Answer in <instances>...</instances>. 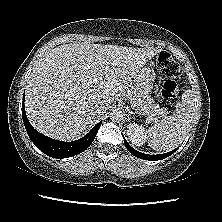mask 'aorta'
I'll return each mask as SVG.
<instances>
[{
  "label": "aorta",
  "instance_id": "aorta-1",
  "mask_svg": "<svg viewBox=\"0 0 222 222\" xmlns=\"http://www.w3.org/2000/svg\"><path fill=\"white\" fill-rule=\"evenodd\" d=\"M110 118L114 121H121L123 119L122 111L119 109H114L110 113Z\"/></svg>",
  "mask_w": 222,
  "mask_h": 222
}]
</instances>
